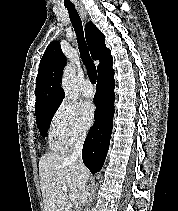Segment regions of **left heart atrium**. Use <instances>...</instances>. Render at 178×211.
I'll list each match as a JSON object with an SVG mask.
<instances>
[{
  "label": "left heart atrium",
  "instance_id": "1",
  "mask_svg": "<svg viewBox=\"0 0 178 211\" xmlns=\"http://www.w3.org/2000/svg\"><path fill=\"white\" fill-rule=\"evenodd\" d=\"M81 118L85 125L89 126L93 123L95 118V106L90 101L82 102L80 105Z\"/></svg>",
  "mask_w": 178,
  "mask_h": 211
}]
</instances>
